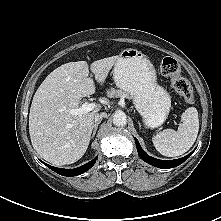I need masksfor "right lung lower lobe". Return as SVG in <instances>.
Masks as SVG:
<instances>
[{"mask_svg":"<svg viewBox=\"0 0 221 221\" xmlns=\"http://www.w3.org/2000/svg\"><path fill=\"white\" fill-rule=\"evenodd\" d=\"M96 159H93L92 161L86 163L85 165L81 166V167H78V168H75V169H62V168H57V167H53V166H50L48 164H44L49 167L50 169H52L53 171H55L56 173L60 174V175H63V176H77V175H80L84 172H86L87 170H89L96 162Z\"/></svg>","mask_w":221,"mask_h":221,"instance_id":"1","label":"right lung lower lobe"}]
</instances>
